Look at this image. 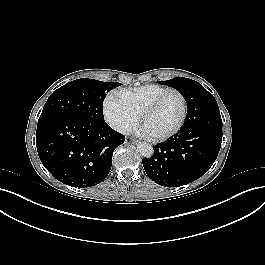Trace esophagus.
<instances>
[{
	"instance_id": "obj_1",
	"label": "esophagus",
	"mask_w": 265,
	"mask_h": 265,
	"mask_svg": "<svg viewBox=\"0 0 265 265\" xmlns=\"http://www.w3.org/2000/svg\"><path fill=\"white\" fill-rule=\"evenodd\" d=\"M130 140L132 141V143H135V142L138 141V140H137L136 138H134V137H131Z\"/></svg>"
}]
</instances>
